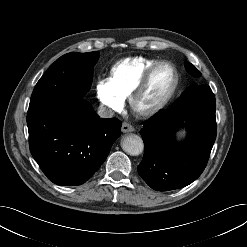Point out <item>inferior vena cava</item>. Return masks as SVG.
I'll return each mask as SVG.
<instances>
[{"instance_id": "602c4592", "label": "inferior vena cava", "mask_w": 247, "mask_h": 247, "mask_svg": "<svg viewBox=\"0 0 247 247\" xmlns=\"http://www.w3.org/2000/svg\"><path fill=\"white\" fill-rule=\"evenodd\" d=\"M97 113L101 118H111L114 115V111L113 110H111L110 108H107V107H105L103 105H101L98 108V112Z\"/></svg>"}]
</instances>
